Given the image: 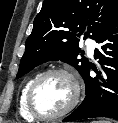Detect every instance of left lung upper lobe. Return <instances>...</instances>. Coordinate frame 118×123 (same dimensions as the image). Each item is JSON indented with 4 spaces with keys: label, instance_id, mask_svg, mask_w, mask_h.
<instances>
[{
    "label": "left lung upper lobe",
    "instance_id": "obj_1",
    "mask_svg": "<svg viewBox=\"0 0 118 123\" xmlns=\"http://www.w3.org/2000/svg\"><path fill=\"white\" fill-rule=\"evenodd\" d=\"M118 17V0H46L34 19L17 78L51 60L75 67L81 76L89 66L79 48L84 39L96 38Z\"/></svg>",
    "mask_w": 118,
    "mask_h": 123
}]
</instances>
